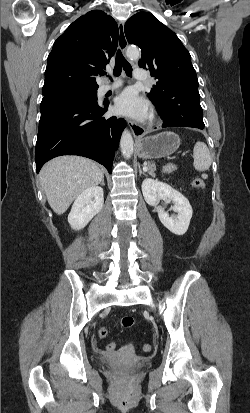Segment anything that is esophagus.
I'll return each instance as SVG.
<instances>
[{"instance_id": "34e87169", "label": "esophagus", "mask_w": 250, "mask_h": 413, "mask_svg": "<svg viewBox=\"0 0 250 413\" xmlns=\"http://www.w3.org/2000/svg\"><path fill=\"white\" fill-rule=\"evenodd\" d=\"M118 28H119L118 45H119V49L121 50V52L124 53L128 45L125 32H124V22H120L118 24ZM127 123L135 138L141 137L144 134V129L140 125H138L135 121L128 119Z\"/></svg>"}]
</instances>
